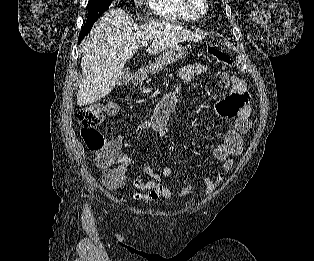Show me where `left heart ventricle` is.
<instances>
[{"mask_svg":"<svg viewBox=\"0 0 314 261\" xmlns=\"http://www.w3.org/2000/svg\"><path fill=\"white\" fill-rule=\"evenodd\" d=\"M195 6L198 8H202L203 4H202V0H194Z\"/></svg>","mask_w":314,"mask_h":261,"instance_id":"left-heart-ventricle-1","label":"left heart ventricle"}]
</instances>
